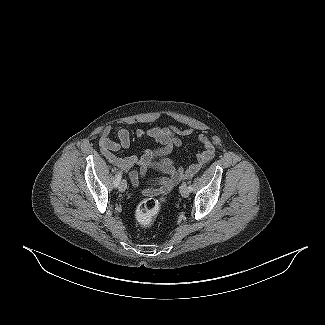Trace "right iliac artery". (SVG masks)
<instances>
[{
  "instance_id": "1",
  "label": "right iliac artery",
  "mask_w": 325,
  "mask_h": 325,
  "mask_svg": "<svg viewBox=\"0 0 325 325\" xmlns=\"http://www.w3.org/2000/svg\"><path fill=\"white\" fill-rule=\"evenodd\" d=\"M122 178V171H120L115 179L114 186L117 187L121 181Z\"/></svg>"
}]
</instances>
